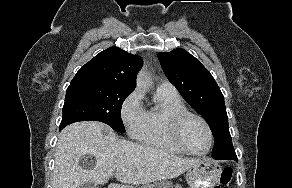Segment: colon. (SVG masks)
Returning a JSON list of instances; mask_svg holds the SVG:
<instances>
[{
    "label": "colon",
    "instance_id": "1",
    "mask_svg": "<svg viewBox=\"0 0 292 188\" xmlns=\"http://www.w3.org/2000/svg\"><path fill=\"white\" fill-rule=\"evenodd\" d=\"M233 170L230 167L223 169L220 175V179L215 188H229L232 180Z\"/></svg>",
    "mask_w": 292,
    "mask_h": 188
}]
</instances>
